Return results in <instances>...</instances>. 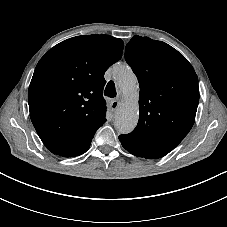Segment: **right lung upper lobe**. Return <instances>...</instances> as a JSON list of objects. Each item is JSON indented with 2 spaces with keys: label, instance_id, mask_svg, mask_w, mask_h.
<instances>
[{
  "label": "right lung upper lobe",
  "instance_id": "1",
  "mask_svg": "<svg viewBox=\"0 0 227 227\" xmlns=\"http://www.w3.org/2000/svg\"><path fill=\"white\" fill-rule=\"evenodd\" d=\"M123 41L109 35L67 39L38 62L28 92L32 123L54 154L85 153L106 119L104 73L122 57Z\"/></svg>",
  "mask_w": 227,
  "mask_h": 227
}]
</instances>
